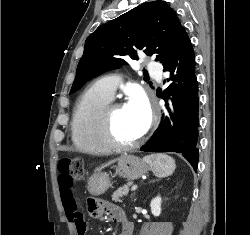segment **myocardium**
<instances>
[{"label":"myocardium","instance_id":"1","mask_svg":"<svg viewBox=\"0 0 250 235\" xmlns=\"http://www.w3.org/2000/svg\"><path fill=\"white\" fill-rule=\"evenodd\" d=\"M125 107L124 103H109L101 114V134L106 144L111 150L128 151L140 146L144 141V136H140L136 141L123 143L119 141L114 133V115L117 110Z\"/></svg>","mask_w":250,"mask_h":235}]
</instances>
